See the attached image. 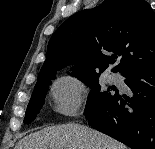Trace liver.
<instances>
[{
    "mask_svg": "<svg viewBox=\"0 0 155 149\" xmlns=\"http://www.w3.org/2000/svg\"><path fill=\"white\" fill-rule=\"evenodd\" d=\"M15 149H126V146L86 126L68 123L31 133Z\"/></svg>",
    "mask_w": 155,
    "mask_h": 149,
    "instance_id": "obj_1",
    "label": "liver"
}]
</instances>
